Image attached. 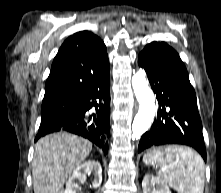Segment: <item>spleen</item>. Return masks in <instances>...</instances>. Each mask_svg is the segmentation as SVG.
<instances>
[{
  "instance_id": "spleen-1",
  "label": "spleen",
  "mask_w": 221,
  "mask_h": 193,
  "mask_svg": "<svg viewBox=\"0 0 221 193\" xmlns=\"http://www.w3.org/2000/svg\"><path fill=\"white\" fill-rule=\"evenodd\" d=\"M159 166L158 176L178 193H203L205 166L200 155L185 146H152L143 157Z\"/></svg>"
}]
</instances>
